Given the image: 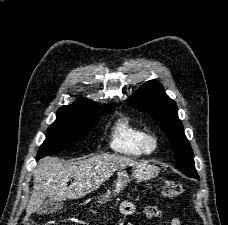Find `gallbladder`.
Returning <instances> with one entry per match:
<instances>
[{
	"instance_id": "1",
	"label": "gallbladder",
	"mask_w": 228,
	"mask_h": 225,
	"mask_svg": "<svg viewBox=\"0 0 228 225\" xmlns=\"http://www.w3.org/2000/svg\"><path fill=\"white\" fill-rule=\"evenodd\" d=\"M64 207V201H54V199H48L42 207H39V213H58Z\"/></svg>"
}]
</instances>
